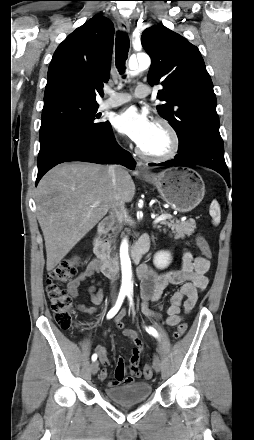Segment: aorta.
Wrapping results in <instances>:
<instances>
[{"instance_id": "obj_1", "label": "aorta", "mask_w": 254, "mask_h": 440, "mask_svg": "<svg viewBox=\"0 0 254 440\" xmlns=\"http://www.w3.org/2000/svg\"><path fill=\"white\" fill-rule=\"evenodd\" d=\"M138 68L133 74H137L145 69H147L151 60L147 54L141 53L137 55L136 59ZM129 67L134 69L135 64L130 61ZM120 261H121V272H122V289L130 290L132 288V274H131V261L128 255V248L126 242L121 247L120 250Z\"/></svg>"}]
</instances>
